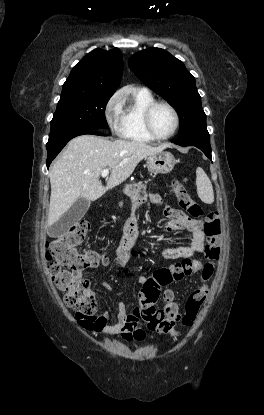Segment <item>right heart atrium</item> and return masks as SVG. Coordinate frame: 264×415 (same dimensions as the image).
Listing matches in <instances>:
<instances>
[{
  "label": "right heart atrium",
  "mask_w": 264,
  "mask_h": 415,
  "mask_svg": "<svg viewBox=\"0 0 264 415\" xmlns=\"http://www.w3.org/2000/svg\"><path fill=\"white\" fill-rule=\"evenodd\" d=\"M104 113L111 129L118 132L121 126V100L118 94L108 100Z\"/></svg>",
  "instance_id": "1"
}]
</instances>
